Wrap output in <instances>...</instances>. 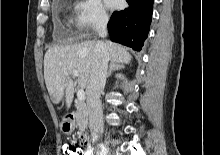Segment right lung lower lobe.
Instances as JSON below:
<instances>
[{
    "mask_svg": "<svg viewBox=\"0 0 220 155\" xmlns=\"http://www.w3.org/2000/svg\"><path fill=\"white\" fill-rule=\"evenodd\" d=\"M126 1L129 7L112 14L108 32L112 41L139 51L150 29L154 0Z\"/></svg>",
    "mask_w": 220,
    "mask_h": 155,
    "instance_id": "right-lung-lower-lobe-1",
    "label": "right lung lower lobe"
}]
</instances>
